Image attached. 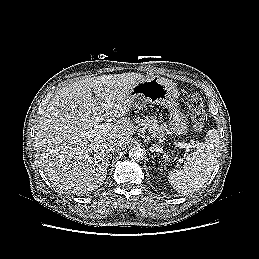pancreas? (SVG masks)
Wrapping results in <instances>:
<instances>
[{"instance_id":"cf45deb5","label":"pancreas","mask_w":259,"mask_h":259,"mask_svg":"<svg viewBox=\"0 0 259 259\" xmlns=\"http://www.w3.org/2000/svg\"><path fill=\"white\" fill-rule=\"evenodd\" d=\"M136 123L143 126L153 137H157L161 141L164 139L166 125H160L155 118L149 116H145L144 118L137 117Z\"/></svg>"}]
</instances>
